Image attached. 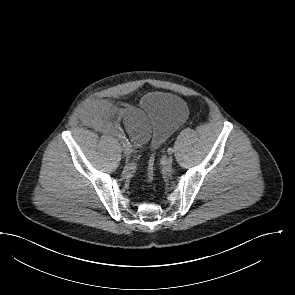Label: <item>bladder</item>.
<instances>
[{
  "label": "bladder",
  "instance_id": "1",
  "mask_svg": "<svg viewBox=\"0 0 295 295\" xmlns=\"http://www.w3.org/2000/svg\"><path fill=\"white\" fill-rule=\"evenodd\" d=\"M152 126L150 143L158 147L188 117V107L179 96L168 92L146 94L140 107Z\"/></svg>",
  "mask_w": 295,
  "mask_h": 295
}]
</instances>
